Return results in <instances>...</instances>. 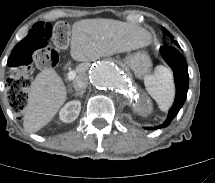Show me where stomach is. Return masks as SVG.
<instances>
[{"mask_svg": "<svg viewBox=\"0 0 215 183\" xmlns=\"http://www.w3.org/2000/svg\"><path fill=\"white\" fill-rule=\"evenodd\" d=\"M125 64L131 68L134 73L141 77L149 72L152 63L145 52H136L125 58Z\"/></svg>", "mask_w": 215, "mask_h": 183, "instance_id": "0dacf381", "label": "stomach"}]
</instances>
